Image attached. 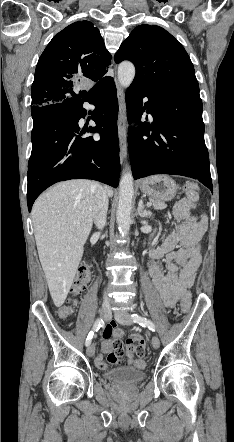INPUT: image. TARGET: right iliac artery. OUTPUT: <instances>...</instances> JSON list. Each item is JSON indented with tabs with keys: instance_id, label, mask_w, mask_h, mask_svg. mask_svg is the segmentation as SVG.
<instances>
[{
	"instance_id": "right-iliac-artery-1",
	"label": "right iliac artery",
	"mask_w": 234,
	"mask_h": 442,
	"mask_svg": "<svg viewBox=\"0 0 234 442\" xmlns=\"http://www.w3.org/2000/svg\"><path fill=\"white\" fill-rule=\"evenodd\" d=\"M102 323H103L102 319H97L95 321V323H94V325L92 327V330L89 332V334L87 336V339H86V342H85L86 346H89L91 344V340H92V337L94 335V332H96V331H98L100 329V327L102 326Z\"/></svg>"
}]
</instances>
